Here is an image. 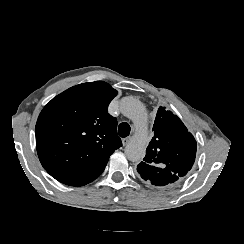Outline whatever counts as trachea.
Listing matches in <instances>:
<instances>
[{
	"label": "trachea",
	"mask_w": 244,
	"mask_h": 244,
	"mask_svg": "<svg viewBox=\"0 0 244 244\" xmlns=\"http://www.w3.org/2000/svg\"><path fill=\"white\" fill-rule=\"evenodd\" d=\"M130 125L126 122H123L118 127V134L120 137H127L130 134Z\"/></svg>",
	"instance_id": "3493384b"
}]
</instances>
